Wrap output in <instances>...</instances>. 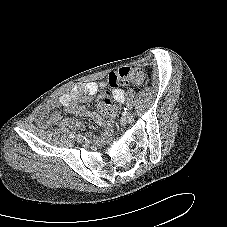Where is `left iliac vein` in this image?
I'll return each instance as SVG.
<instances>
[{"mask_svg": "<svg viewBox=\"0 0 227 227\" xmlns=\"http://www.w3.org/2000/svg\"><path fill=\"white\" fill-rule=\"evenodd\" d=\"M134 120V115L131 112H127L122 117V122L125 124L131 123Z\"/></svg>", "mask_w": 227, "mask_h": 227, "instance_id": "obj_1", "label": "left iliac vein"}]
</instances>
